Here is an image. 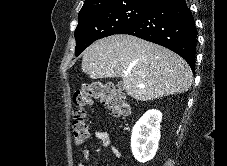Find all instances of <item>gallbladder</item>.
I'll list each match as a JSON object with an SVG mask.
<instances>
[{
	"mask_svg": "<svg viewBox=\"0 0 227 166\" xmlns=\"http://www.w3.org/2000/svg\"><path fill=\"white\" fill-rule=\"evenodd\" d=\"M118 87L122 89L123 85H122V83H121V82H120V83H118Z\"/></svg>",
	"mask_w": 227,
	"mask_h": 166,
	"instance_id": "obj_1",
	"label": "gallbladder"
}]
</instances>
